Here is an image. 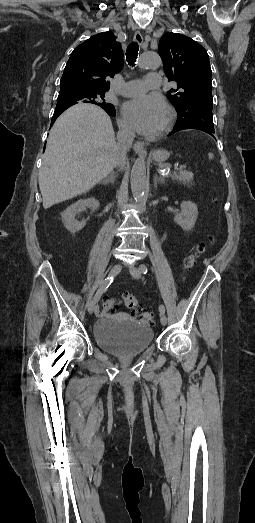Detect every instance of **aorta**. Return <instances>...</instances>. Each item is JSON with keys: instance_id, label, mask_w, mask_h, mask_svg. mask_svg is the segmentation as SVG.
<instances>
[{"instance_id": "aorta-1", "label": "aorta", "mask_w": 255, "mask_h": 523, "mask_svg": "<svg viewBox=\"0 0 255 523\" xmlns=\"http://www.w3.org/2000/svg\"><path fill=\"white\" fill-rule=\"evenodd\" d=\"M162 61L156 52H145L140 58L139 66L145 69L157 68ZM131 191L136 200H140L144 195L147 186L146 164L143 156L136 159L130 176Z\"/></svg>"}]
</instances>
